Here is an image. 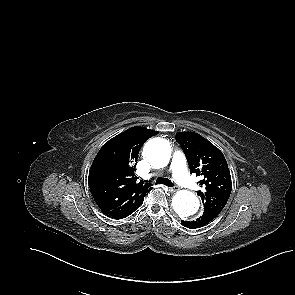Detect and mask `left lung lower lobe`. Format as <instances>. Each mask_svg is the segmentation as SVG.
Segmentation results:
<instances>
[{
	"label": "left lung lower lobe",
	"mask_w": 295,
	"mask_h": 295,
	"mask_svg": "<svg viewBox=\"0 0 295 295\" xmlns=\"http://www.w3.org/2000/svg\"><path fill=\"white\" fill-rule=\"evenodd\" d=\"M220 212H221L220 210H216V209H206L204 210L203 215L197 218L196 220L181 221V223L183 226L190 229L200 228L207 225L209 222H211L214 218L218 216Z\"/></svg>",
	"instance_id": "1"
}]
</instances>
